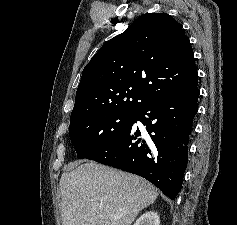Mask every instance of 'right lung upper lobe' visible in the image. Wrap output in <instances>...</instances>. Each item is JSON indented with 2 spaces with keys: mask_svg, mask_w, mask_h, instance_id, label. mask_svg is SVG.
Returning a JSON list of instances; mask_svg holds the SVG:
<instances>
[{
  "mask_svg": "<svg viewBox=\"0 0 237 225\" xmlns=\"http://www.w3.org/2000/svg\"><path fill=\"white\" fill-rule=\"evenodd\" d=\"M194 53L166 13L137 18L85 66L70 124L107 112H137L157 94L197 85Z\"/></svg>",
  "mask_w": 237,
  "mask_h": 225,
  "instance_id": "obj_1",
  "label": "right lung upper lobe"
}]
</instances>
